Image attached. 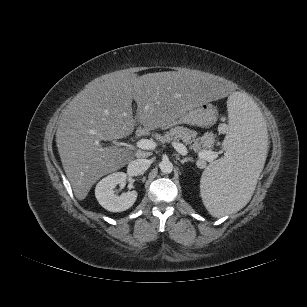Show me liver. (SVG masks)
<instances>
[{
    "label": "liver",
    "mask_w": 307,
    "mask_h": 307,
    "mask_svg": "<svg viewBox=\"0 0 307 307\" xmlns=\"http://www.w3.org/2000/svg\"><path fill=\"white\" fill-rule=\"evenodd\" d=\"M230 94L224 84L189 70L140 77L116 72L96 78L63 110L56 132L61 162L75 197L85 199L97 180L134 158L128 149L103 147L101 141L130 135L136 119L147 131L165 127L193 106L216 103Z\"/></svg>",
    "instance_id": "1"
}]
</instances>
